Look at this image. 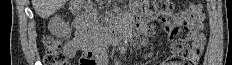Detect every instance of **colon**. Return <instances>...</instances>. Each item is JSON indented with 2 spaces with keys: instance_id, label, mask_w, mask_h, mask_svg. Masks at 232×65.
<instances>
[{
  "instance_id": "colon-1",
  "label": "colon",
  "mask_w": 232,
  "mask_h": 65,
  "mask_svg": "<svg viewBox=\"0 0 232 65\" xmlns=\"http://www.w3.org/2000/svg\"><path fill=\"white\" fill-rule=\"evenodd\" d=\"M154 9L160 20L167 23L173 16V3L170 0L154 1ZM188 36L179 39L172 45L175 60L187 64L189 55L192 52V41L197 32L203 27V9L200 4H192L186 11ZM46 54L44 57L45 65H67L66 56L61 50V41L53 36H47L44 40ZM80 65H95V59L91 52L86 51L82 54Z\"/></svg>"
}]
</instances>
